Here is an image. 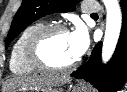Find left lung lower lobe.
<instances>
[{
    "instance_id": "obj_1",
    "label": "left lung lower lobe",
    "mask_w": 127,
    "mask_h": 92,
    "mask_svg": "<svg viewBox=\"0 0 127 92\" xmlns=\"http://www.w3.org/2000/svg\"><path fill=\"white\" fill-rule=\"evenodd\" d=\"M122 28L116 50L108 64L101 63L102 43L95 45L89 60L71 76L84 79L101 92H116L127 77V0H121Z\"/></svg>"
}]
</instances>
